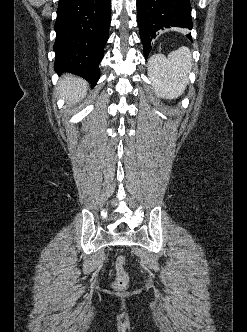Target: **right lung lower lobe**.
I'll list each match as a JSON object with an SVG mask.
<instances>
[{
    "instance_id": "right-lung-lower-lobe-1",
    "label": "right lung lower lobe",
    "mask_w": 247,
    "mask_h": 332,
    "mask_svg": "<svg viewBox=\"0 0 247 332\" xmlns=\"http://www.w3.org/2000/svg\"><path fill=\"white\" fill-rule=\"evenodd\" d=\"M111 0H59L54 29L57 72H71L95 85L109 37Z\"/></svg>"
}]
</instances>
